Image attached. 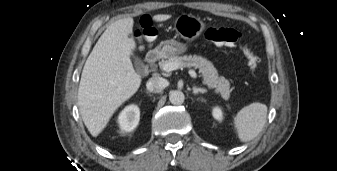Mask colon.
<instances>
[{"label":"colon","mask_w":337,"mask_h":171,"mask_svg":"<svg viewBox=\"0 0 337 171\" xmlns=\"http://www.w3.org/2000/svg\"><path fill=\"white\" fill-rule=\"evenodd\" d=\"M136 35L138 40L144 44L155 40V29L149 16L144 15L141 17ZM205 38L218 46H231L241 42L242 34L234 28L211 27L206 31ZM243 52L250 67L256 70L260 64L257 54L247 45L243 47Z\"/></svg>","instance_id":"1"}]
</instances>
